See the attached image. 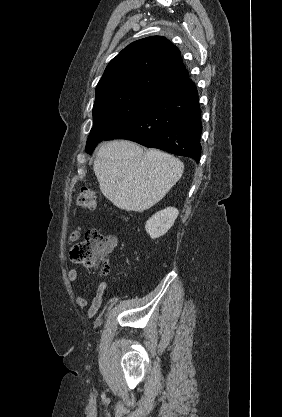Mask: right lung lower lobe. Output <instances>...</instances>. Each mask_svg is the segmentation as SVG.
Masks as SVG:
<instances>
[{
  "label": "right lung lower lobe",
  "instance_id": "obj_1",
  "mask_svg": "<svg viewBox=\"0 0 282 417\" xmlns=\"http://www.w3.org/2000/svg\"><path fill=\"white\" fill-rule=\"evenodd\" d=\"M201 132L197 89L187 77L159 91L152 101L103 140L128 139L191 157L198 163Z\"/></svg>",
  "mask_w": 282,
  "mask_h": 417
}]
</instances>
